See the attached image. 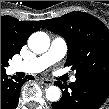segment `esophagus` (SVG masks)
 <instances>
[{"mask_svg": "<svg viewBox=\"0 0 109 109\" xmlns=\"http://www.w3.org/2000/svg\"><path fill=\"white\" fill-rule=\"evenodd\" d=\"M40 82L44 85V86H50L52 83L51 81L47 80V79H40Z\"/></svg>", "mask_w": 109, "mask_h": 109, "instance_id": "1", "label": "esophagus"}]
</instances>
